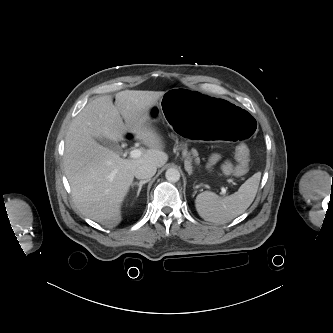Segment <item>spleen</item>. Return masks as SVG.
I'll use <instances>...</instances> for the list:
<instances>
[{
    "mask_svg": "<svg viewBox=\"0 0 333 333\" xmlns=\"http://www.w3.org/2000/svg\"><path fill=\"white\" fill-rule=\"evenodd\" d=\"M261 173L257 172L246 180L237 192L220 198L215 193L205 191L197 195L195 207L205 221L215 224H225L241 215L252 204L257 190Z\"/></svg>",
    "mask_w": 333,
    "mask_h": 333,
    "instance_id": "1",
    "label": "spleen"
}]
</instances>
